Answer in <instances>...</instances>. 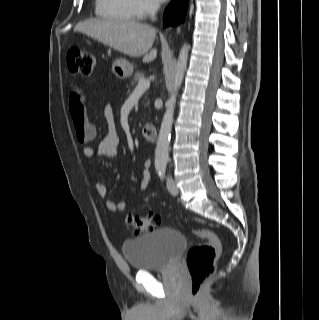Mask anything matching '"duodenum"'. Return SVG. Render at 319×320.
I'll list each match as a JSON object with an SVG mask.
<instances>
[{
    "mask_svg": "<svg viewBox=\"0 0 319 320\" xmlns=\"http://www.w3.org/2000/svg\"><path fill=\"white\" fill-rule=\"evenodd\" d=\"M142 134L150 142H155L157 140V129L154 124H145L142 128Z\"/></svg>",
    "mask_w": 319,
    "mask_h": 320,
    "instance_id": "duodenum-1",
    "label": "duodenum"
}]
</instances>
